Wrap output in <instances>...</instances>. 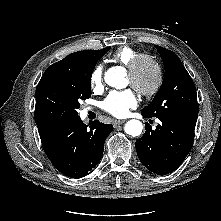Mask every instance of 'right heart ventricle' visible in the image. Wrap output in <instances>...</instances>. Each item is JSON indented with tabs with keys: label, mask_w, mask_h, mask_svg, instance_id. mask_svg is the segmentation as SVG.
Listing matches in <instances>:
<instances>
[{
	"label": "right heart ventricle",
	"mask_w": 221,
	"mask_h": 221,
	"mask_svg": "<svg viewBox=\"0 0 221 221\" xmlns=\"http://www.w3.org/2000/svg\"><path fill=\"white\" fill-rule=\"evenodd\" d=\"M139 51L131 48V47H121L119 48L113 55L112 60L114 62L120 63L126 67H128L135 56H137Z\"/></svg>",
	"instance_id": "e07e8e85"
}]
</instances>
